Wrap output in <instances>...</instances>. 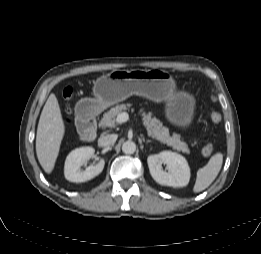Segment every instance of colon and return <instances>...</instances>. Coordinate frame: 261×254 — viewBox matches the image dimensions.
<instances>
[{
  "label": "colon",
  "mask_w": 261,
  "mask_h": 254,
  "mask_svg": "<svg viewBox=\"0 0 261 254\" xmlns=\"http://www.w3.org/2000/svg\"><path fill=\"white\" fill-rule=\"evenodd\" d=\"M71 95H72V89L70 87L66 88L63 92L64 98L69 99L71 97ZM209 117H210V120L215 124H218L222 121V115L217 111H212L210 113ZM213 151H214V145L212 143H209L203 147L202 154L205 157H208V156L212 155Z\"/></svg>",
  "instance_id": "5ec220e1"
}]
</instances>
